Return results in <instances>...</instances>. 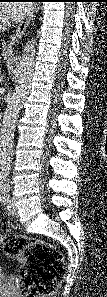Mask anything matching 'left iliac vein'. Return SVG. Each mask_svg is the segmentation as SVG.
<instances>
[{
  "instance_id": "1",
  "label": "left iliac vein",
  "mask_w": 107,
  "mask_h": 297,
  "mask_svg": "<svg viewBox=\"0 0 107 297\" xmlns=\"http://www.w3.org/2000/svg\"><path fill=\"white\" fill-rule=\"evenodd\" d=\"M7 212L9 215H17V208L12 200L7 203Z\"/></svg>"
}]
</instances>
